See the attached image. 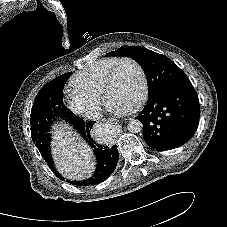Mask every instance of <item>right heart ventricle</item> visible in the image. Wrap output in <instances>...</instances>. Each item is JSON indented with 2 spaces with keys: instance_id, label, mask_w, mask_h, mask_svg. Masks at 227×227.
Returning <instances> with one entry per match:
<instances>
[{
  "instance_id": "1",
  "label": "right heart ventricle",
  "mask_w": 227,
  "mask_h": 227,
  "mask_svg": "<svg viewBox=\"0 0 227 227\" xmlns=\"http://www.w3.org/2000/svg\"><path fill=\"white\" fill-rule=\"evenodd\" d=\"M118 60L116 57L103 58L86 66L72 78V87L75 91L101 98L104 81Z\"/></svg>"
}]
</instances>
